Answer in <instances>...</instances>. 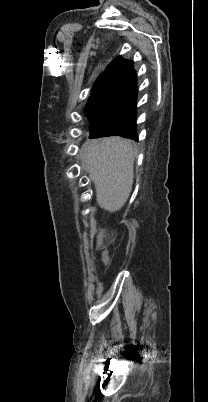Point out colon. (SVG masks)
<instances>
[{"label": "colon", "mask_w": 208, "mask_h": 402, "mask_svg": "<svg viewBox=\"0 0 208 402\" xmlns=\"http://www.w3.org/2000/svg\"><path fill=\"white\" fill-rule=\"evenodd\" d=\"M97 243H102V238H97ZM101 257H106V252H101Z\"/></svg>", "instance_id": "colon-1"}]
</instances>
